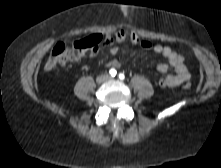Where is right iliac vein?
Returning a JSON list of instances; mask_svg holds the SVG:
<instances>
[{
  "mask_svg": "<svg viewBox=\"0 0 221 168\" xmlns=\"http://www.w3.org/2000/svg\"><path fill=\"white\" fill-rule=\"evenodd\" d=\"M108 79L107 75H100L97 77L96 82L98 84H101L103 82H105Z\"/></svg>",
  "mask_w": 221,
  "mask_h": 168,
  "instance_id": "right-iliac-vein-1",
  "label": "right iliac vein"
}]
</instances>
